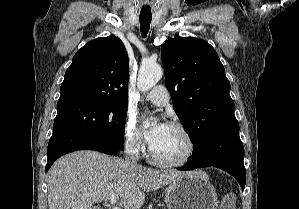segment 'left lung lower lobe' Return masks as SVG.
I'll list each match as a JSON object with an SVG mask.
<instances>
[{
  "instance_id": "left-lung-lower-lobe-1",
  "label": "left lung lower lobe",
  "mask_w": 299,
  "mask_h": 209,
  "mask_svg": "<svg viewBox=\"0 0 299 209\" xmlns=\"http://www.w3.org/2000/svg\"><path fill=\"white\" fill-rule=\"evenodd\" d=\"M244 147L239 137L238 121L229 123L211 133L203 147L193 151L189 162L179 170L214 166L230 173L245 188Z\"/></svg>"
}]
</instances>
